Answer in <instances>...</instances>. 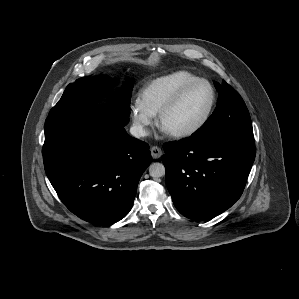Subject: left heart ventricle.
I'll use <instances>...</instances> for the list:
<instances>
[{
  "instance_id": "obj_1",
  "label": "left heart ventricle",
  "mask_w": 299,
  "mask_h": 299,
  "mask_svg": "<svg viewBox=\"0 0 299 299\" xmlns=\"http://www.w3.org/2000/svg\"><path fill=\"white\" fill-rule=\"evenodd\" d=\"M210 99L211 93L207 85L199 84L191 88L165 116L162 129L171 133L194 126L205 114Z\"/></svg>"
}]
</instances>
